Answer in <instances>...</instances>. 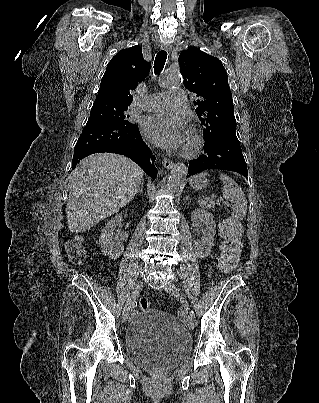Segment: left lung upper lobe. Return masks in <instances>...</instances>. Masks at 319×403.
<instances>
[{"mask_svg": "<svg viewBox=\"0 0 319 403\" xmlns=\"http://www.w3.org/2000/svg\"><path fill=\"white\" fill-rule=\"evenodd\" d=\"M178 61L184 86L199 97L194 105L205 126V139L213 140L229 129H236L232 94L222 62L198 48L182 51Z\"/></svg>", "mask_w": 319, "mask_h": 403, "instance_id": "left-lung-upper-lobe-1", "label": "left lung upper lobe"}]
</instances>
